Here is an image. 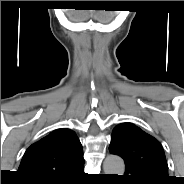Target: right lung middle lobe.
I'll return each mask as SVG.
<instances>
[{
  "mask_svg": "<svg viewBox=\"0 0 184 184\" xmlns=\"http://www.w3.org/2000/svg\"><path fill=\"white\" fill-rule=\"evenodd\" d=\"M38 184H55V182H46V183H38Z\"/></svg>",
  "mask_w": 184,
  "mask_h": 184,
  "instance_id": "right-lung-middle-lobe-1",
  "label": "right lung middle lobe"
}]
</instances>
